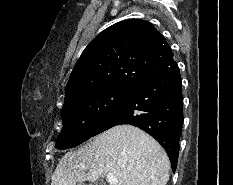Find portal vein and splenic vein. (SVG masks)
I'll return each instance as SVG.
<instances>
[{"label":"portal vein and splenic vein","instance_id":"obj_1","mask_svg":"<svg viewBox=\"0 0 233 185\" xmlns=\"http://www.w3.org/2000/svg\"><path fill=\"white\" fill-rule=\"evenodd\" d=\"M79 168H85V166L84 165H79L78 166ZM106 177H107V180L110 182V183H116L117 182V180H116V178L114 177V175L112 174V173H108L107 175H106Z\"/></svg>","mask_w":233,"mask_h":185}]
</instances>
